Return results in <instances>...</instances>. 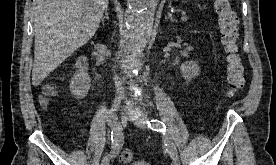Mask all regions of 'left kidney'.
<instances>
[{
	"label": "left kidney",
	"instance_id": "1",
	"mask_svg": "<svg viewBox=\"0 0 276 165\" xmlns=\"http://www.w3.org/2000/svg\"><path fill=\"white\" fill-rule=\"evenodd\" d=\"M180 72L185 79L191 80L199 75L200 67L195 61H186L180 66Z\"/></svg>",
	"mask_w": 276,
	"mask_h": 165
}]
</instances>
